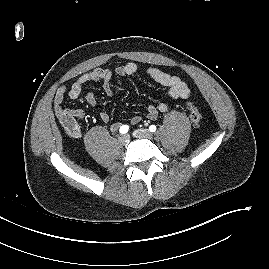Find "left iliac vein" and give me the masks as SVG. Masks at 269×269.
Wrapping results in <instances>:
<instances>
[{
	"instance_id": "left-iliac-vein-1",
	"label": "left iliac vein",
	"mask_w": 269,
	"mask_h": 269,
	"mask_svg": "<svg viewBox=\"0 0 269 269\" xmlns=\"http://www.w3.org/2000/svg\"><path fill=\"white\" fill-rule=\"evenodd\" d=\"M133 136L136 138L151 139L153 134L148 129H137L133 132Z\"/></svg>"
}]
</instances>
